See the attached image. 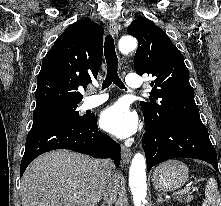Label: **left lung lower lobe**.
<instances>
[{"label":"left lung lower lobe","instance_id":"left-lung-lower-lobe-1","mask_svg":"<svg viewBox=\"0 0 221 206\" xmlns=\"http://www.w3.org/2000/svg\"><path fill=\"white\" fill-rule=\"evenodd\" d=\"M145 130L142 147L148 171L158 163L178 157L200 159L218 170L216 152L204 124H177L149 129L145 120Z\"/></svg>","mask_w":221,"mask_h":206}]
</instances>
